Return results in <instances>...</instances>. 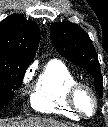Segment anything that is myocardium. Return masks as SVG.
Instances as JSON below:
<instances>
[{"label":"myocardium","mask_w":108,"mask_h":127,"mask_svg":"<svg viewBox=\"0 0 108 127\" xmlns=\"http://www.w3.org/2000/svg\"><path fill=\"white\" fill-rule=\"evenodd\" d=\"M81 94H87L92 101V109L90 112L84 111L79 105V96ZM68 103L72 110L79 116L82 117H91L95 114L98 107V100L95 92L88 85L75 82L68 91Z\"/></svg>","instance_id":"obj_1"}]
</instances>
